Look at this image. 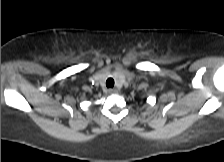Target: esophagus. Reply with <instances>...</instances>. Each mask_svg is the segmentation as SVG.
I'll list each match as a JSON object with an SVG mask.
<instances>
[{
  "label": "esophagus",
  "mask_w": 224,
  "mask_h": 162,
  "mask_svg": "<svg viewBox=\"0 0 224 162\" xmlns=\"http://www.w3.org/2000/svg\"><path fill=\"white\" fill-rule=\"evenodd\" d=\"M108 92H109V94H115V93L118 92V90L115 89V88H110V89L108 90Z\"/></svg>",
  "instance_id": "esophagus-1"
}]
</instances>
